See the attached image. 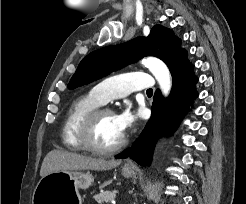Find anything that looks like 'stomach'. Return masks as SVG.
<instances>
[{
  "label": "stomach",
  "instance_id": "1",
  "mask_svg": "<svg viewBox=\"0 0 246 204\" xmlns=\"http://www.w3.org/2000/svg\"><path fill=\"white\" fill-rule=\"evenodd\" d=\"M122 175L135 178L133 168H122ZM94 181L93 175L87 171H58L40 179L35 187L32 204H81L79 189L89 188Z\"/></svg>",
  "mask_w": 246,
  "mask_h": 204
}]
</instances>
